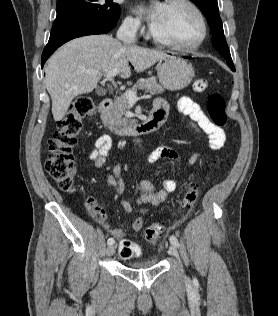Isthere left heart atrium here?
I'll list each match as a JSON object with an SVG mask.
<instances>
[{"instance_id": "1", "label": "left heart atrium", "mask_w": 278, "mask_h": 316, "mask_svg": "<svg viewBox=\"0 0 278 316\" xmlns=\"http://www.w3.org/2000/svg\"><path fill=\"white\" fill-rule=\"evenodd\" d=\"M164 8L165 4L158 2L150 6L140 5L137 7V12L147 16L152 28L159 20Z\"/></svg>"}]
</instances>
